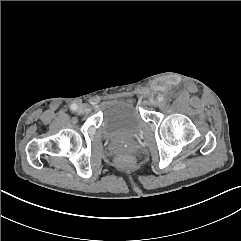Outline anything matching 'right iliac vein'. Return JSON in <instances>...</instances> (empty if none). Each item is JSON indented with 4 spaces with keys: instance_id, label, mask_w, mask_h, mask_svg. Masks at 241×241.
I'll return each mask as SVG.
<instances>
[{
    "instance_id": "right-iliac-vein-1",
    "label": "right iliac vein",
    "mask_w": 241,
    "mask_h": 241,
    "mask_svg": "<svg viewBox=\"0 0 241 241\" xmlns=\"http://www.w3.org/2000/svg\"><path fill=\"white\" fill-rule=\"evenodd\" d=\"M89 111H90L89 108L85 105H81L78 108V113L80 114L88 113Z\"/></svg>"
}]
</instances>
